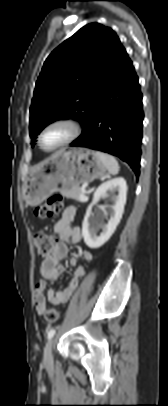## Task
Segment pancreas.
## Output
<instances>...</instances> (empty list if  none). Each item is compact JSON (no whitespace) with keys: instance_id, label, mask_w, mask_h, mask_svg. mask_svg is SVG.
Instances as JSON below:
<instances>
[{"instance_id":"pancreas-1","label":"pancreas","mask_w":168,"mask_h":406,"mask_svg":"<svg viewBox=\"0 0 168 406\" xmlns=\"http://www.w3.org/2000/svg\"><path fill=\"white\" fill-rule=\"evenodd\" d=\"M61 193H62L63 196H65L67 198L74 199V200L79 201V202H86L87 201V200L86 201L81 200L80 196L82 194V190L80 189V187L72 189V190L63 191Z\"/></svg>"}]
</instances>
